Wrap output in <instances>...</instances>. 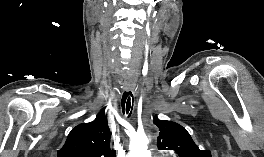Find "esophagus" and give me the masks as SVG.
Masks as SVG:
<instances>
[{"label": "esophagus", "instance_id": "obj_1", "mask_svg": "<svg viewBox=\"0 0 264 157\" xmlns=\"http://www.w3.org/2000/svg\"><path fill=\"white\" fill-rule=\"evenodd\" d=\"M125 90H129V88L128 87H125Z\"/></svg>", "mask_w": 264, "mask_h": 157}]
</instances>
